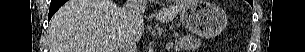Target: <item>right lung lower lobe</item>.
<instances>
[{
  "instance_id": "obj_1",
  "label": "right lung lower lobe",
  "mask_w": 305,
  "mask_h": 52,
  "mask_svg": "<svg viewBox=\"0 0 305 52\" xmlns=\"http://www.w3.org/2000/svg\"><path fill=\"white\" fill-rule=\"evenodd\" d=\"M65 0H51L48 21L54 15V13L65 3Z\"/></svg>"
}]
</instances>
